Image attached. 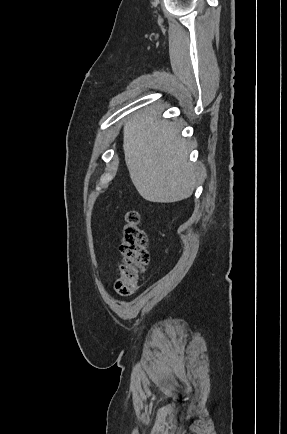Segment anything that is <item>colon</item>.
I'll return each mask as SVG.
<instances>
[{"mask_svg": "<svg viewBox=\"0 0 287 434\" xmlns=\"http://www.w3.org/2000/svg\"><path fill=\"white\" fill-rule=\"evenodd\" d=\"M120 250L123 263L115 284L116 291L123 296H130L139 287L142 275L149 263L148 237L141 226L137 211H128L121 235Z\"/></svg>", "mask_w": 287, "mask_h": 434, "instance_id": "colon-1", "label": "colon"}]
</instances>
